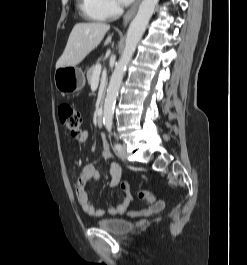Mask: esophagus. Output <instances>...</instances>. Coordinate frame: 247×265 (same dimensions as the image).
Wrapping results in <instances>:
<instances>
[{
  "mask_svg": "<svg viewBox=\"0 0 247 265\" xmlns=\"http://www.w3.org/2000/svg\"><path fill=\"white\" fill-rule=\"evenodd\" d=\"M141 0H136V2L134 3V5L127 11V13L124 15L123 17V21H122V27H126L127 24L131 21V19L134 17L138 6L140 4Z\"/></svg>",
  "mask_w": 247,
  "mask_h": 265,
  "instance_id": "esophagus-1",
  "label": "esophagus"
}]
</instances>
